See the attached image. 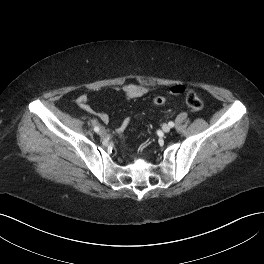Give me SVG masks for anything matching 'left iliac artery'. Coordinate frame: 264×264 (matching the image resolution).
<instances>
[{"label":"left iliac artery","instance_id":"1","mask_svg":"<svg viewBox=\"0 0 264 264\" xmlns=\"http://www.w3.org/2000/svg\"><path fill=\"white\" fill-rule=\"evenodd\" d=\"M170 127H173L174 126V123L171 121L168 123Z\"/></svg>","mask_w":264,"mask_h":264}]
</instances>
